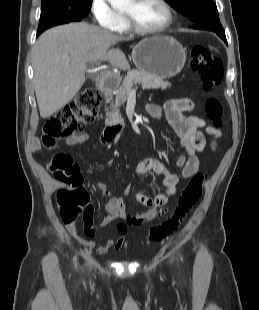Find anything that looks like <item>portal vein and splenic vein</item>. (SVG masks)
<instances>
[{
	"label": "portal vein and splenic vein",
	"instance_id": "1",
	"mask_svg": "<svg viewBox=\"0 0 259 310\" xmlns=\"http://www.w3.org/2000/svg\"><path fill=\"white\" fill-rule=\"evenodd\" d=\"M101 67H98L97 69H100ZM131 92H135V89H132Z\"/></svg>",
	"mask_w": 259,
	"mask_h": 310
}]
</instances>
